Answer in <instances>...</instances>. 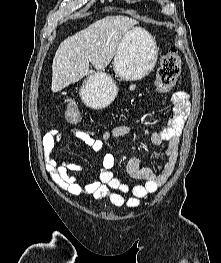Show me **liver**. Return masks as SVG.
Returning <instances> with one entry per match:
<instances>
[{"label": "liver", "instance_id": "obj_1", "mask_svg": "<svg viewBox=\"0 0 221 263\" xmlns=\"http://www.w3.org/2000/svg\"><path fill=\"white\" fill-rule=\"evenodd\" d=\"M137 24L138 21L127 16H106L62 41L52 63V92L93 73L89 62L96 70H104L122 37Z\"/></svg>", "mask_w": 221, "mask_h": 263}]
</instances>
